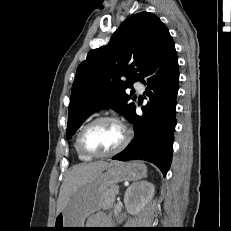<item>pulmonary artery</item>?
<instances>
[{"mask_svg":"<svg viewBox=\"0 0 231 231\" xmlns=\"http://www.w3.org/2000/svg\"><path fill=\"white\" fill-rule=\"evenodd\" d=\"M135 88H136L140 93H143L144 90H145V85H144L143 82L138 81V82L135 83Z\"/></svg>","mask_w":231,"mask_h":231,"instance_id":"e3ab8cb5","label":"pulmonary artery"}]
</instances>
